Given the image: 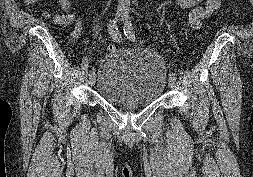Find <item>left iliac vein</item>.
I'll return each instance as SVG.
<instances>
[{
	"mask_svg": "<svg viewBox=\"0 0 253 177\" xmlns=\"http://www.w3.org/2000/svg\"><path fill=\"white\" fill-rule=\"evenodd\" d=\"M126 21H128V22H129V20H128V19H126ZM168 86H169L170 88H174V87L176 86L175 79H173V78L169 77V78H168Z\"/></svg>",
	"mask_w": 253,
	"mask_h": 177,
	"instance_id": "4c4485c4",
	"label": "left iliac vein"
}]
</instances>
